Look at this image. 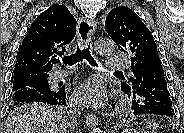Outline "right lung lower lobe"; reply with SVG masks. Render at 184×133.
<instances>
[{
  "instance_id": "right-lung-lower-lobe-1",
  "label": "right lung lower lobe",
  "mask_w": 184,
  "mask_h": 133,
  "mask_svg": "<svg viewBox=\"0 0 184 133\" xmlns=\"http://www.w3.org/2000/svg\"><path fill=\"white\" fill-rule=\"evenodd\" d=\"M11 100L13 104L43 102L51 105H66V93L64 88L45 93L31 86H26L13 92Z\"/></svg>"
}]
</instances>
